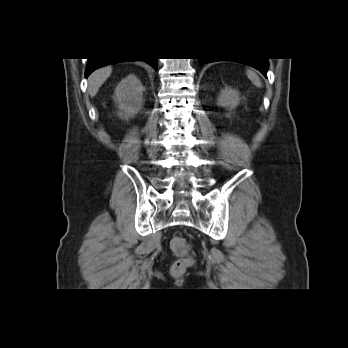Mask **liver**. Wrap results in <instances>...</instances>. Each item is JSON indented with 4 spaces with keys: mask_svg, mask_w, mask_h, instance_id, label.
<instances>
[{
    "mask_svg": "<svg viewBox=\"0 0 348 348\" xmlns=\"http://www.w3.org/2000/svg\"><path fill=\"white\" fill-rule=\"evenodd\" d=\"M112 73V67L106 66L94 71L88 79V91L91 97H94L99 88L103 85V83L107 80V78Z\"/></svg>",
    "mask_w": 348,
    "mask_h": 348,
    "instance_id": "obj_1",
    "label": "liver"
}]
</instances>
